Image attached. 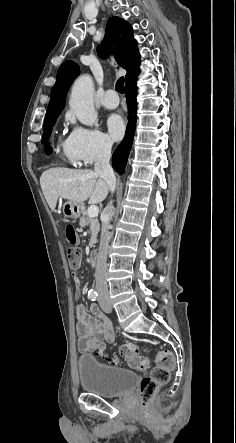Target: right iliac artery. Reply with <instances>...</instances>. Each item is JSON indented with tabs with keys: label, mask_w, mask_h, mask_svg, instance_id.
Instances as JSON below:
<instances>
[{
	"label": "right iliac artery",
	"mask_w": 236,
	"mask_h": 443,
	"mask_svg": "<svg viewBox=\"0 0 236 443\" xmlns=\"http://www.w3.org/2000/svg\"><path fill=\"white\" fill-rule=\"evenodd\" d=\"M88 298L92 301H95L98 298V293L96 292V290L94 289L89 290Z\"/></svg>",
	"instance_id": "obj_1"
}]
</instances>
